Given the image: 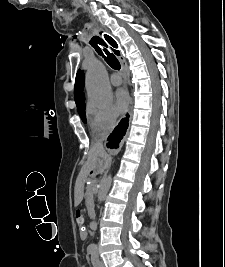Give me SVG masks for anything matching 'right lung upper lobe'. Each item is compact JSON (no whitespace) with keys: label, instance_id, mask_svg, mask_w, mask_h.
Masks as SVG:
<instances>
[{"label":"right lung upper lobe","instance_id":"1","mask_svg":"<svg viewBox=\"0 0 225 267\" xmlns=\"http://www.w3.org/2000/svg\"><path fill=\"white\" fill-rule=\"evenodd\" d=\"M83 88H84V73L83 71L79 70L76 75L75 88H74L75 102L78 109L84 104L85 101Z\"/></svg>","mask_w":225,"mask_h":267}]
</instances>
